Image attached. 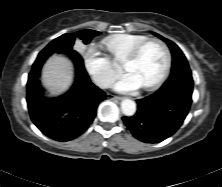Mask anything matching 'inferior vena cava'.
I'll use <instances>...</instances> for the list:
<instances>
[{
	"mask_svg": "<svg viewBox=\"0 0 222 187\" xmlns=\"http://www.w3.org/2000/svg\"><path fill=\"white\" fill-rule=\"evenodd\" d=\"M112 84H113V80L109 78H103L97 81V85L101 88H109L112 86Z\"/></svg>",
	"mask_w": 222,
	"mask_h": 187,
	"instance_id": "1",
	"label": "inferior vena cava"
}]
</instances>
